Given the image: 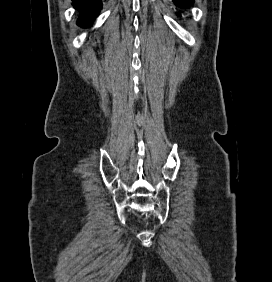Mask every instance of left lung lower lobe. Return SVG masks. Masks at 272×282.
<instances>
[{
    "label": "left lung lower lobe",
    "instance_id": "obj_1",
    "mask_svg": "<svg viewBox=\"0 0 272 282\" xmlns=\"http://www.w3.org/2000/svg\"><path fill=\"white\" fill-rule=\"evenodd\" d=\"M179 6H188L193 3V0H173Z\"/></svg>",
    "mask_w": 272,
    "mask_h": 282
}]
</instances>
